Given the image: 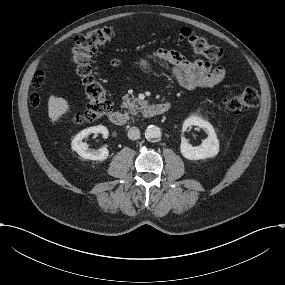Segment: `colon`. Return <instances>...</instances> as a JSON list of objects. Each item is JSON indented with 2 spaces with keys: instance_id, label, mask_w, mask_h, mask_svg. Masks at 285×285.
I'll return each mask as SVG.
<instances>
[{
  "instance_id": "1",
  "label": "colon",
  "mask_w": 285,
  "mask_h": 285,
  "mask_svg": "<svg viewBox=\"0 0 285 285\" xmlns=\"http://www.w3.org/2000/svg\"><path fill=\"white\" fill-rule=\"evenodd\" d=\"M181 38L186 40L192 50L207 59L210 63H217L223 57V49L209 43L205 38L194 33L190 28L183 27L178 31ZM113 36V29L100 27L92 29L76 37L71 49V62L75 67L81 85L83 86L86 106L83 112L72 117V123L80 125L95 121L108 114L112 109V103L107 97L105 87L96 80L93 75L91 60L94 54L104 46ZM45 80V74L38 71L33 78V87L38 89ZM30 103L37 107L40 104V96L33 91ZM225 107L229 111L240 112L255 108L259 103L258 92L254 88H245L237 94L229 96L225 100Z\"/></svg>"
}]
</instances>
